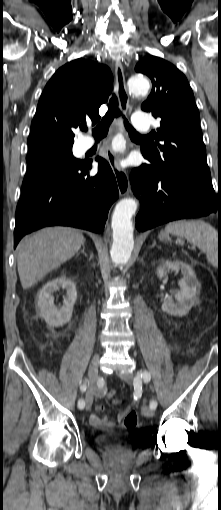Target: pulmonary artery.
Here are the masks:
<instances>
[{
	"label": "pulmonary artery",
	"mask_w": 221,
	"mask_h": 510,
	"mask_svg": "<svg viewBox=\"0 0 221 510\" xmlns=\"http://www.w3.org/2000/svg\"><path fill=\"white\" fill-rule=\"evenodd\" d=\"M132 126L135 130L146 132L150 129L151 121L149 117L145 113L136 112L133 114L132 119ZM91 141H88L86 144V148H89L91 146Z\"/></svg>",
	"instance_id": "obj_1"
}]
</instances>
